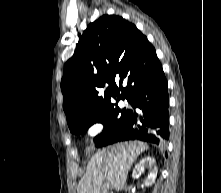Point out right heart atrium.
Listing matches in <instances>:
<instances>
[{
    "mask_svg": "<svg viewBox=\"0 0 221 193\" xmlns=\"http://www.w3.org/2000/svg\"><path fill=\"white\" fill-rule=\"evenodd\" d=\"M102 130H103V124L95 123L89 128L88 133L91 136H95L99 134Z\"/></svg>",
    "mask_w": 221,
    "mask_h": 193,
    "instance_id": "d8ad5b80",
    "label": "right heart atrium"
}]
</instances>
